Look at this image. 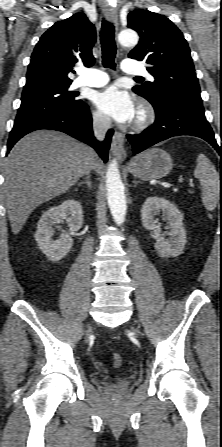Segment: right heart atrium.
<instances>
[{
    "label": "right heart atrium",
    "instance_id": "d8ad5b80",
    "mask_svg": "<svg viewBox=\"0 0 222 447\" xmlns=\"http://www.w3.org/2000/svg\"><path fill=\"white\" fill-rule=\"evenodd\" d=\"M91 121L94 126L101 129H105L109 125L107 117L98 111H93L91 113Z\"/></svg>",
    "mask_w": 222,
    "mask_h": 447
}]
</instances>
